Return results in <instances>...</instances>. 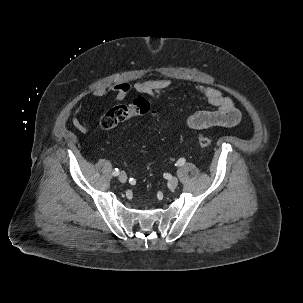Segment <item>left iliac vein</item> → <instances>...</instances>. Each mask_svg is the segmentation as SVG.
<instances>
[{
    "mask_svg": "<svg viewBox=\"0 0 303 303\" xmlns=\"http://www.w3.org/2000/svg\"><path fill=\"white\" fill-rule=\"evenodd\" d=\"M178 183V178L172 177L168 180L167 186L169 189L174 190L177 187Z\"/></svg>",
    "mask_w": 303,
    "mask_h": 303,
    "instance_id": "left-iliac-vein-1",
    "label": "left iliac vein"
}]
</instances>
